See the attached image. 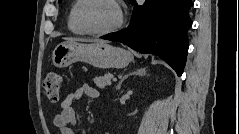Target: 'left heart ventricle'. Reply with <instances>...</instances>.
Masks as SVG:
<instances>
[{
	"instance_id": "left-heart-ventricle-1",
	"label": "left heart ventricle",
	"mask_w": 239,
	"mask_h": 134,
	"mask_svg": "<svg viewBox=\"0 0 239 134\" xmlns=\"http://www.w3.org/2000/svg\"><path fill=\"white\" fill-rule=\"evenodd\" d=\"M85 19L90 28L104 30L116 23L118 11L111 2L107 0H97L87 7Z\"/></svg>"
}]
</instances>
